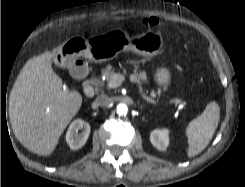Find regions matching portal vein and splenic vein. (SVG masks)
<instances>
[{"mask_svg": "<svg viewBox=\"0 0 245 187\" xmlns=\"http://www.w3.org/2000/svg\"><path fill=\"white\" fill-rule=\"evenodd\" d=\"M124 80H125V76L124 75H122V74H114L113 77H112V79H111V81L108 84V87L109 88L119 87ZM139 93L141 94V96L148 103L156 104V102L152 98H150L149 96H147L146 94H144L142 92V90H139ZM170 103L176 104V105H179V106H182V107H184L186 105V102H183L182 100H179V99H173V100L170 101Z\"/></svg>", "mask_w": 245, "mask_h": 187, "instance_id": "1", "label": "portal vein and splenic vein"}]
</instances>
